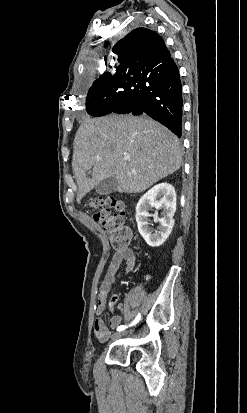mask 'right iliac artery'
<instances>
[{"label": "right iliac artery", "instance_id": "82829eb1", "mask_svg": "<svg viewBox=\"0 0 247 413\" xmlns=\"http://www.w3.org/2000/svg\"><path fill=\"white\" fill-rule=\"evenodd\" d=\"M140 318H141V314L138 313L137 317L132 321L131 324H129V325H121V326H119V327L117 328V331H123V330H125V329L128 328V327L134 326L135 324H137V323L139 322Z\"/></svg>", "mask_w": 247, "mask_h": 413}]
</instances>
